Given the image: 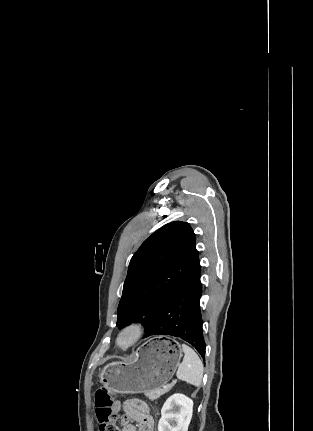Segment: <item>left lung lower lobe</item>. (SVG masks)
Instances as JSON below:
<instances>
[{"label":"left lung lower lobe","mask_w":313,"mask_h":431,"mask_svg":"<svg viewBox=\"0 0 313 431\" xmlns=\"http://www.w3.org/2000/svg\"><path fill=\"white\" fill-rule=\"evenodd\" d=\"M200 269L163 306L144 338L152 335H171L179 337L191 345L205 359V341L202 332V318L199 300L202 293Z\"/></svg>","instance_id":"1"}]
</instances>
